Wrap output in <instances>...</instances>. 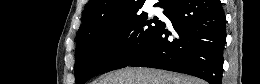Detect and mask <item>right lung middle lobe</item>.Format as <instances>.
<instances>
[{
    "instance_id": "right-lung-middle-lobe-1",
    "label": "right lung middle lobe",
    "mask_w": 260,
    "mask_h": 84,
    "mask_svg": "<svg viewBox=\"0 0 260 84\" xmlns=\"http://www.w3.org/2000/svg\"><path fill=\"white\" fill-rule=\"evenodd\" d=\"M162 25L157 17L147 20L144 12L93 25L87 35L76 41V84L128 66L150 47Z\"/></svg>"
}]
</instances>
